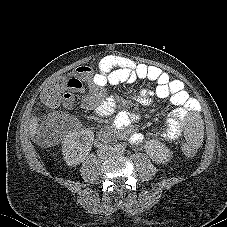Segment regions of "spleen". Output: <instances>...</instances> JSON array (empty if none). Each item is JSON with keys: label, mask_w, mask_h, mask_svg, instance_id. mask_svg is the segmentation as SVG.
Here are the masks:
<instances>
[{"label": "spleen", "mask_w": 227, "mask_h": 227, "mask_svg": "<svg viewBox=\"0 0 227 227\" xmlns=\"http://www.w3.org/2000/svg\"><path fill=\"white\" fill-rule=\"evenodd\" d=\"M184 136L188 144L199 146L206 139L205 120L198 113H191L184 120Z\"/></svg>", "instance_id": "obj_1"}]
</instances>
